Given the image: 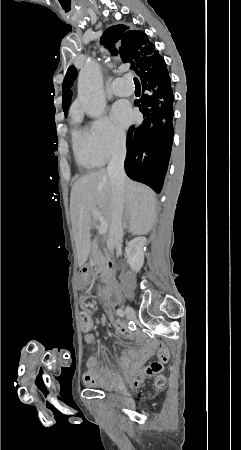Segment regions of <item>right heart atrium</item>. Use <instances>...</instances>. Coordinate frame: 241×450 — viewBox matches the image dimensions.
<instances>
[{
    "mask_svg": "<svg viewBox=\"0 0 241 450\" xmlns=\"http://www.w3.org/2000/svg\"><path fill=\"white\" fill-rule=\"evenodd\" d=\"M77 125H87V116H77ZM126 134L124 130L114 125L106 116L101 117L93 123L92 128L87 131V147L95 156L103 161L110 160L115 155L126 153Z\"/></svg>",
    "mask_w": 241,
    "mask_h": 450,
    "instance_id": "right-heart-atrium-1",
    "label": "right heart atrium"
}]
</instances>
